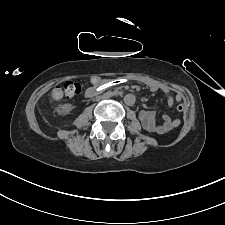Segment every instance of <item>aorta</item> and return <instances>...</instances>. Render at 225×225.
I'll list each match as a JSON object with an SVG mask.
<instances>
[{"label":"aorta","mask_w":225,"mask_h":225,"mask_svg":"<svg viewBox=\"0 0 225 225\" xmlns=\"http://www.w3.org/2000/svg\"><path fill=\"white\" fill-rule=\"evenodd\" d=\"M135 100V96L132 94H126L124 97V103L129 106L133 105L135 103Z\"/></svg>","instance_id":"aorta-1"}]
</instances>
